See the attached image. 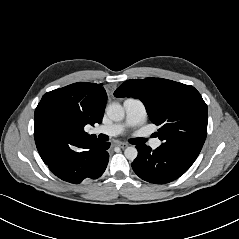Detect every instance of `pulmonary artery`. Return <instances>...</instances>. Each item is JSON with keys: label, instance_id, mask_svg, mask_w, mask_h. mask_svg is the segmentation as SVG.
<instances>
[{"label": "pulmonary artery", "instance_id": "pulmonary-artery-1", "mask_svg": "<svg viewBox=\"0 0 239 239\" xmlns=\"http://www.w3.org/2000/svg\"><path fill=\"white\" fill-rule=\"evenodd\" d=\"M123 107L125 110V118L122 122L99 126L95 128L94 132L108 136H116L122 133L125 128L141 125L146 120V108L140 100L127 98L123 102ZM160 144L161 142L159 139H153L150 143L153 148L159 147Z\"/></svg>", "mask_w": 239, "mask_h": 239}]
</instances>
